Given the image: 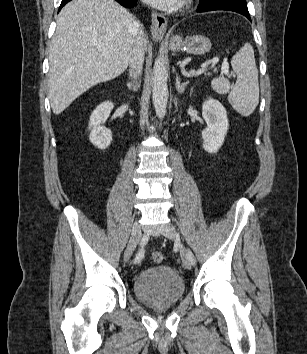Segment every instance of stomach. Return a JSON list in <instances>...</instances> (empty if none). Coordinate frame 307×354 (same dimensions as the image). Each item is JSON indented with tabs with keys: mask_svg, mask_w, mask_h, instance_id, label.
I'll return each mask as SVG.
<instances>
[{
	"mask_svg": "<svg viewBox=\"0 0 307 354\" xmlns=\"http://www.w3.org/2000/svg\"><path fill=\"white\" fill-rule=\"evenodd\" d=\"M170 49L173 51H185L192 55H204L211 49V41L204 35H188L183 39L176 35L170 40Z\"/></svg>",
	"mask_w": 307,
	"mask_h": 354,
	"instance_id": "0dacf381",
	"label": "stomach"
}]
</instances>
